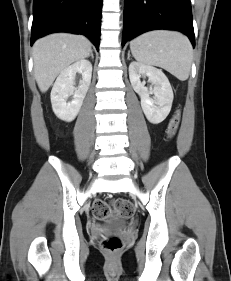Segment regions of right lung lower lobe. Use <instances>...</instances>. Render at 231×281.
Returning <instances> with one entry per match:
<instances>
[{
	"instance_id": "right-lung-lower-lobe-1",
	"label": "right lung lower lobe",
	"mask_w": 231,
	"mask_h": 281,
	"mask_svg": "<svg viewBox=\"0 0 231 281\" xmlns=\"http://www.w3.org/2000/svg\"><path fill=\"white\" fill-rule=\"evenodd\" d=\"M102 0H34L31 45L51 33L87 36L99 49Z\"/></svg>"
}]
</instances>
